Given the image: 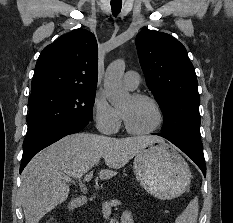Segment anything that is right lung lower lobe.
<instances>
[{"instance_id": "obj_1", "label": "right lung lower lobe", "mask_w": 233, "mask_h": 223, "mask_svg": "<svg viewBox=\"0 0 233 223\" xmlns=\"http://www.w3.org/2000/svg\"><path fill=\"white\" fill-rule=\"evenodd\" d=\"M88 123L89 121L86 120H72L65 122L59 127L46 133L45 135H43L42 137L31 143L26 148H24L22 162L20 166V173L22 172L24 167L28 164V162L32 159V157L35 154H37L40 150L58 141L59 139H61L66 135L78 133Z\"/></svg>"}]
</instances>
